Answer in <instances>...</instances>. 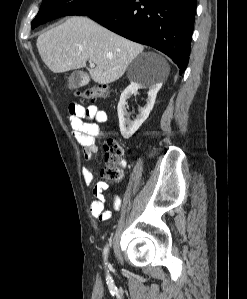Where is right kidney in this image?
I'll return each instance as SVG.
<instances>
[{"instance_id": "1", "label": "right kidney", "mask_w": 247, "mask_h": 299, "mask_svg": "<svg viewBox=\"0 0 247 299\" xmlns=\"http://www.w3.org/2000/svg\"><path fill=\"white\" fill-rule=\"evenodd\" d=\"M143 87L141 84L131 82V84L122 92L120 101L118 103L117 112L119 118L120 132L123 138L129 139L139 129L143 122L148 118L151 110L153 109L156 95L161 88V84H154L149 87L148 98L146 105L140 108V114L134 121H130L129 118H125L126 115V100L133 94L137 93L138 89Z\"/></svg>"}]
</instances>
